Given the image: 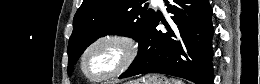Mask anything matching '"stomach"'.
Masks as SVG:
<instances>
[{
	"mask_svg": "<svg viewBox=\"0 0 260 84\" xmlns=\"http://www.w3.org/2000/svg\"><path fill=\"white\" fill-rule=\"evenodd\" d=\"M125 84H170V81L161 74H147L137 80Z\"/></svg>",
	"mask_w": 260,
	"mask_h": 84,
	"instance_id": "1",
	"label": "stomach"
}]
</instances>
